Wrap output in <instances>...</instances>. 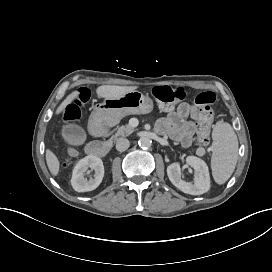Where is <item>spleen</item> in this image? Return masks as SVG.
<instances>
[{
	"mask_svg": "<svg viewBox=\"0 0 272 272\" xmlns=\"http://www.w3.org/2000/svg\"><path fill=\"white\" fill-rule=\"evenodd\" d=\"M212 138L214 139L212 174L218 184H223L229 179L237 163V135L231 125L222 120L213 127Z\"/></svg>",
	"mask_w": 272,
	"mask_h": 272,
	"instance_id": "1",
	"label": "spleen"
}]
</instances>
